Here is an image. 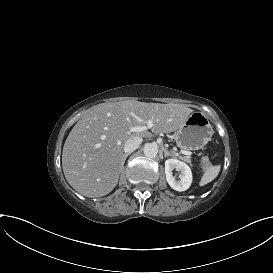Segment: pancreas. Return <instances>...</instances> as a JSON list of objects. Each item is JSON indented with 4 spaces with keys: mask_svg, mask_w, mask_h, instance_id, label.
I'll use <instances>...</instances> for the list:
<instances>
[{
    "mask_svg": "<svg viewBox=\"0 0 273 273\" xmlns=\"http://www.w3.org/2000/svg\"><path fill=\"white\" fill-rule=\"evenodd\" d=\"M179 157H180L181 159H183V160H185V161H187V162L191 163V159H190V157H188V156H184V155H179Z\"/></svg>",
    "mask_w": 273,
    "mask_h": 273,
    "instance_id": "1",
    "label": "pancreas"
}]
</instances>
